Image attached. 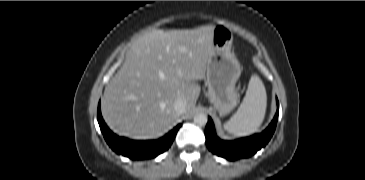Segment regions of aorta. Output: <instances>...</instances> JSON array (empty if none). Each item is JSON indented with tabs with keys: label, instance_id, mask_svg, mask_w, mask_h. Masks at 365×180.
I'll use <instances>...</instances> for the list:
<instances>
[{
	"label": "aorta",
	"instance_id": "1",
	"mask_svg": "<svg viewBox=\"0 0 365 180\" xmlns=\"http://www.w3.org/2000/svg\"><path fill=\"white\" fill-rule=\"evenodd\" d=\"M194 120V123L199 125V126H204L207 124L208 122V117L206 114L204 113H199V114H196L193 118Z\"/></svg>",
	"mask_w": 365,
	"mask_h": 180
}]
</instances>
